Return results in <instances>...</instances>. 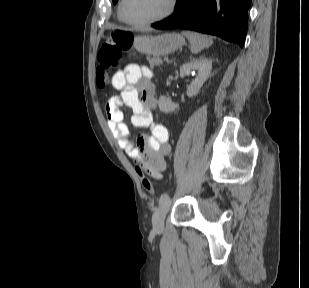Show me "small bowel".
I'll list each match as a JSON object with an SVG mask.
<instances>
[{"instance_id":"obj_1","label":"small bowel","mask_w":309,"mask_h":288,"mask_svg":"<svg viewBox=\"0 0 309 288\" xmlns=\"http://www.w3.org/2000/svg\"><path fill=\"white\" fill-rule=\"evenodd\" d=\"M112 83L119 93L110 96L105 106L111 134L119 147L136 164H140L146 174L160 179L166 169L165 158L171 152V145L167 127L153 121V110L158 101L151 72L137 64H129L114 75ZM123 106L132 110V124L139 128L148 127L149 135H142L136 141L130 138L129 127L121 112Z\"/></svg>"}]
</instances>
